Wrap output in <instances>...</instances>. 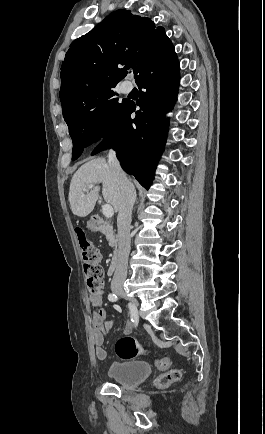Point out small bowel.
<instances>
[{
    "instance_id": "small-bowel-1",
    "label": "small bowel",
    "mask_w": 265,
    "mask_h": 434,
    "mask_svg": "<svg viewBox=\"0 0 265 434\" xmlns=\"http://www.w3.org/2000/svg\"><path fill=\"white\" fill-rule=\"evenodd\" d=\"M88 300L94 307L91 320L94 354L98 361H103L107 357V353L103 347L105 337L113 327L114 321L107 319L108 313L106 309L102 307L103 300L100 296L90 294ZM155 363L158 369L162 371L169 369L172 364L169 358L158 359Z\"/></svg>"
}]
</instances>
